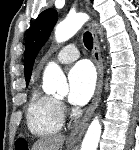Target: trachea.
<instances>
[{"label":"trachea","mask_w":139,"mask_h":150,"mask_svg":"<svg viewBox=\"0 0 139 150\" xmlns=\"http://www.w3.org/2000/svg\"><path fill=\"white\" fill-rule=\"evenodd\" d=\"M83 42L87 49H92V47H93L92 34L89 32H86L83 36Z\"/></svg>","instance_id":"1"}]
</instances>
